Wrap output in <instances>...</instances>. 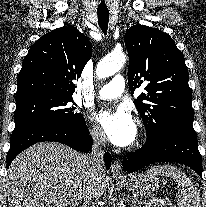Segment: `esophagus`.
<instances>
[{
	"mask_svg": "<svg viewBox=\"0 0 206 207\" xmlns=\"http://www.w3.org/2000/svg\"><path fill=\"white\" fill-rule=\"evenodd\" d=\"M111 173L114 177H122L123 172L121 168V164L118 160H114L111 165Z\"/></svg>",
	"mask_w": 206,
	"mask_h": 207,
	"instance_id": "34e87169",
	"label": "esophagus"
}]
</instances>
